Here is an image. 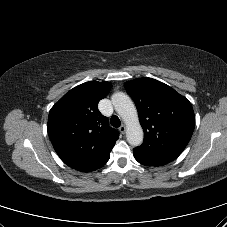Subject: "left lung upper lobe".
<instances>
[{
  "label": "left lung upper lobe",
  "mask_w": 227,
  "mask_h": 227,
  "mask_svg": "<svg viewBox=\"0 0 227 227\" xmlns=\"http://www.w3.org/2000/svg\"><path fill=\"white\" fill-rule=\"evenodd\" d=\"M124 87L135 102L145 133L139 148L177 158L195 127L191 103L170 86L152 78L131 80Z\"/></svg>",
  "instance_id": "obj_1"
}]
</instances>
